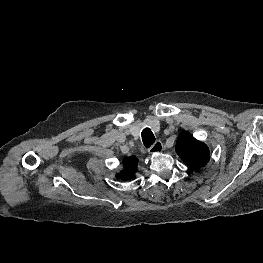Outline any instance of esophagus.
<instances>
[{
	"label": "esophagus",
	"mask_w": 263,
	"mask_h": 263,
	"mask_svg": "<svg viewBox=\"0 0 263 263\" xmlns=\"http://www.w3.org/2000/svg\"><path fill=\"white\" fill-rule=\"evenodd\" d=\"M163 150V144L160 140L156 141L148 150L149 154L159 153Z\"/></svg>",
	"instance_id": "esophagus-1"
}]
</instances>
